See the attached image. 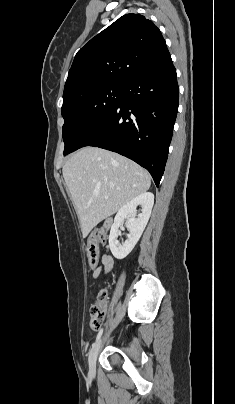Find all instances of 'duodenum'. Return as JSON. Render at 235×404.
Instances as JSON below:
<instances>
[{"mask_svg":"<svg viewBox=\"0 0 235 404\" xmlns=\"http://www.w3.org/2000/svg\"><path fill=\"white\" fill-rule=\"evenodd\" d=\"M105 225H106L107 227H109V226L111 225V222H110L109 220H107V221L105 222Z\"/></svg>","mask_w":235,"mask_h":404,"instance_id":"1","label":"duodenum"}]
</instances>
